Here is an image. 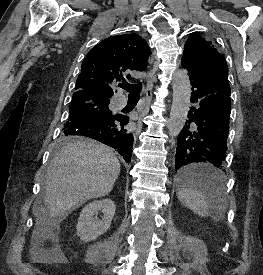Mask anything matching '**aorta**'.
<instances>
[{
	"label": "aorta",
	"instance_id": "aorta-1",
	"mask_svg": "<svg viewBox=\"0 0 263 275\" xmlns=\"http://www.w3.org/2000/svg\"><path fill=\"white\" fill-rule=\"evenodd\" d=\"M173 100L168 121L171 137L178 136L183 129L190 107L191 84L186 70H177L173 74Z\"/></svg>",
	"mask_w": 263,
	"mask_h": 275
}]
</instances>
